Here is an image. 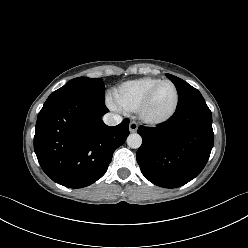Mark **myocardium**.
Wrapping results in <instances>:
<instances>
[{"mask_svg":"<svg viewBox=\"0 0 248 248\" xmlns=\"http://www.w3.org/2000/svg\"><path fill=\"white\" fill-rule=\"evenodd\" d=\"M163 84H169L173 87L174 89V93H175V98H174V103L173 106L171 108V110L165 114L162 117H150L149 115H147L146 113V109L147 106L152 98V96L154 95V93L156 92V90ZM179 105V90L177 88V86L175 85L174 82H172L171 80L165 79V80H161L158 83H156L154 86H152L147 93L144 95V97L142 98V100L140 101L138 107H137V114L138 117L146 124L151 125V126H157V125H161L167 121H169L174 114L177 111Z\"/></svg>","mask_w":248,"mask_h":248,"instance_id":"f54148a6","label":"myocardium"}]
</instances>
